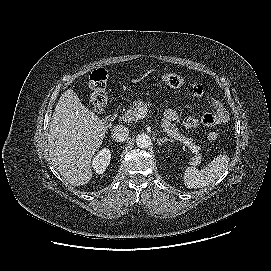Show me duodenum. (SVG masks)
I'll return each instance as SVG.
<instances>
[{
    "label": "duodenum",
    "mask_w": 271,
    "mask_h": 271,
    "mask_svg": "<svg viewBox=\"0 0 271 271\" xmlns=\"http://www.w3.org/2000/svg\"><path fill=\"white\" fill-rule=\"evenodd\" d=\"M116 118H117L116 113H112L105 116L101 121L102 128L107 129L108 127H110L111 124L116 120Z\"/></svg>",
    "instance_id": "410a0bca"
}]
</instances>
